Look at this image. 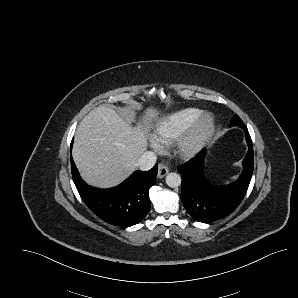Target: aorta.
<instances>
[{"label": "aorta", "mask_w": 298, "mask_h": 298, "mask_svg": "<svg viewBox=\"0 0 298 298\" xmlns=\"http://www.w3.org/2000/svg\"><path fill=\"white\" fill-rule=\"evenodd\" d=\"M182 178L181 175L177 172H169L165 176V183L171 188H175L181 185Z\"/></svg>", "instance_id": "aorta-1"}]
</instances>
